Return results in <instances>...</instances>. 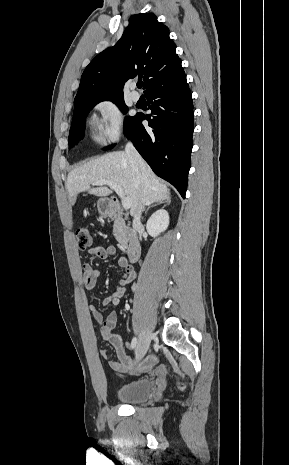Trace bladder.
<instances>
[{
	"label": "bladder",
	"instance_id": "obj_1",
	"mask_svg": "<svg viewBox=\"0 0 289 465\" xmlns=\"http://www.w3.org/2000/svg\"><path fill=\"white\" fill-rule=\"evenodd\" d=\"M152 391V382L147 378H140L121 386L117 391V398L127 404H138L146 401Z\"/></svg>",
	"mask_w": 289,
	"mask_h": 465
}]
</instances>
